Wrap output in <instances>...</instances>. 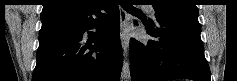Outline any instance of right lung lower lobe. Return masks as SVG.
Segmentation results:
<instances>
[{
  "instance_id": "1",
  "label": "right lung lower lobe",
  "mask_w": 237,
  "mask_h": 81,
  "mask_svg": "<svg viewBox=\"0 0 237 81\" xmlns=\"http://www.w3.org/2000/svg\"><path fill=\"white\" fill-rule=\"evenodd\" d=\"M119 21L118 5L105 0H90L77 13L42 20L32 81H119Z\"/></svg>"
}]
</instances>
